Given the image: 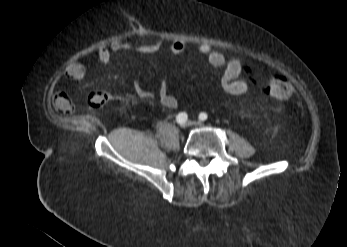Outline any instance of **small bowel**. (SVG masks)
<instances>
[{"instance_id": "c3829d8e", "label": "small bowel", "mask_w": 347, "mask_h": 247, "mask_svg": "<svg viewBox=\"0 0 347 247\" xmlns=\"http://www.w3.org/2000/svg\"><path fill=\"white\" fill-rule=\"evenodd\" d=\"M164 47L162 41L131 43L126 40H118L110 47L103 45L96 49L97 59L100 64L105 65L111 59L112 52L135 51L141 55H152L161 51ZM186 48V43L182 40H172L169 42V50L173 54H180ZM198 52L205 55L208 63L215 69L221 70L220 84L224 92L232 96H242L249 91V79L251 72L249 68L239 58H226L223 52L214 49L209 44H200ZM88 71V66L81 62L70 64L65 74L74 80L82 79ZM138 96L144 100H152L155 94L146 90L141 85L140 80L134 82ZM157 98L160 104L166 108L173 109L178 106V100L169 93V86L166 81H161L157 89ZM53 106L55 110L63 115H72L75 112V105L66 92L56 95Z\"/></svg>"}]
</instances>
